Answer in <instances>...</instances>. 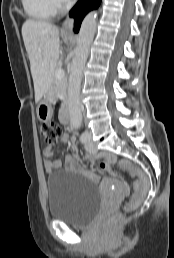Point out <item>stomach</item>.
I'll list each match as a JSON object with an SVG mask.
<instances>
[{"instance_id":"stomach-1","label":"stomach","mask_w":174,"mask_h":258,"mask_svg":"<svg viewBox=\"0 0 174 258\" xmlns=\"http://www.w3.org/2000/svg\"><path fill=\"white\" fill-rule=\"evenodd\" d=\"M51 90H49L39 102L37 107V117L40 121H49L53 115V109L51 105Z\"/></svg>"}]
</instances>
